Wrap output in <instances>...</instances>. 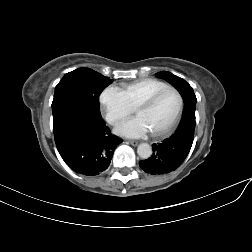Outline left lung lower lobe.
Listing matches in <instances>:
<instances>
[{"label": "left lung lower lobe", "mask_w": 252, "mask_h": 252, "mask_svg": "<svg viewBox=\"0 0 252 252\" xmlns=\"http://www.w3.org/2000/svg\"><path fill=\"white\" fill-rule=\"evenodd\" d=\"M196 102V96H187L182 119L176 131L162 142L154 143L152 156L139 162L146 173L166 174L176 170L184 162L194 140Z\"/></svg>", "instance_id": "obj_1"}]
</instances>
